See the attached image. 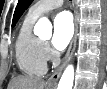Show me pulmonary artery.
<instances>
[{"label": "pulmonary artery", "mask_w": 107, "mask_h": 89, "mask_svg": "<svg viewBox=\"0 0 107 89\" xmlns=\"http://www.w3.org/2000/svg\"><path fill=\"white\" fill-rule=\"evenodd\" d=\"M63 0H42L36 2L29 9L28 14L32 17L38 18L50 10L62 6Z\"/></svg>", "instance_id": "pulmonary-artery-1"}]
</instances>
